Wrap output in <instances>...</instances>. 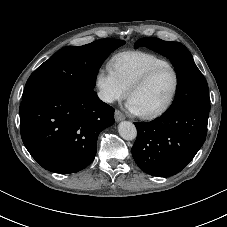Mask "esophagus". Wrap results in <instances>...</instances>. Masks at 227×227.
I'll use <instances>...</instances> for the list:
<instances>
[{"instance_id":"1","label":"esophagus","mask_w":227,"mask_h":227,"mask_svg":"<svg viewBox=\"0 0 227 227\" xmlns=\"http://www.w3.org/2000/svg\"><path fill=\"white\" fill-rule=\"evenodd\" d=\"M114 116H115V120H116L117 122L122 121V120L125 119L124 114H123L121 111H119V110H116V111H115Z\"/></svg>"}]
</instances>
